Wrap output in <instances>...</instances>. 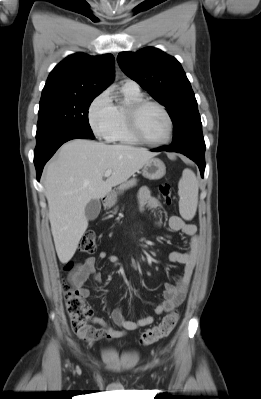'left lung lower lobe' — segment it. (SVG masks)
Instances as JSON below:
<instances>
[{
    "label": "left lung lower lobe",
    "mask_w": 261,
    "mask_h": 399,
    "mask_svg": "<svg viewBox=\"0 0 261 399\" xmlns=\"http://www.w3.org/2000/svg\"><path fill=\"white\" fill-rule=\"evenodd\" d=\"M205 146H184V147H173V146H163L157 149H153L152 151H168V152H177L184 154L185 156L192 159L199 167L201 176L204 175L205 170Z\"/></svg>",
    "instance_id": "1"
}]
</instances>
